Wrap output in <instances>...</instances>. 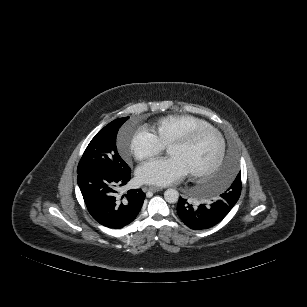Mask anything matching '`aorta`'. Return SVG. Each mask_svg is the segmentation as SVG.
<instances>
[{
    "label": "aorta",
    "mask_w": 307,
    "mask_h": 307,
    "mask_svg": "<svg viewBox=\"0 0 307 307\" xmlns=\"http://www.w3.org/2000/svg\"><path fill=\"white\" fill-rule=\"evenodd\" d=\"M164 199L168 202V203H176L179 199V192L175 189H167L164 192Z\"/></svg>",
    "instance_id": "obj_1"
}]
</instances>
